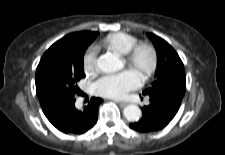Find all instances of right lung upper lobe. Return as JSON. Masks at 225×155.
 Instances as JSON below:
<instances>
[{
    "instance_id": "obj_1",
    "label": "right lung upper lobe",
    "mask_w": 225,
    "mask_h": 155,
    "mask_svg": "<svg viewBox=\"0 0 225 155\" xmlns=\"http://www.w3.org/2000/svg\"><path fill=\"white\" fill-rule=\"evenodd\" d=\"M98 34H99L98 32H90V31L71 33L66 35L62 39L58 40L52 46L64 48V47H73L77 45H85L88 47V45L91 44V42L97 37ZM39 101L41 106H44L49 103L41 99H39Z\"/></svg>"
}]
</instances>
